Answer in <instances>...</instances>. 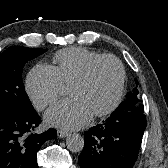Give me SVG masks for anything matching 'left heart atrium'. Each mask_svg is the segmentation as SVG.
<instances>
[{
  "label": "left heart atrium",
  "mask_w": 168,
  "mask_h": 168,
  "mask_svg": "<svg viewBox=\"0 0 168 168\" xmlns=\"http://www.w3.org/2000/svg\"><path fill=\"white\" fill-rule=\"evenodd\" d=\"M92 111L80 97L72 96L55 104L46 114V121L53 126L77 129L92 118Z\"/></svg>",
  "instance_id": "39dd6f15"
}]
</instances>
